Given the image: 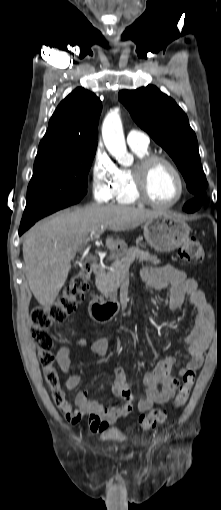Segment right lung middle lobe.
<instances>
[{
	"mask_svg": "<svg viewBox=\"0 0 221 510\" xmlns=\"http://www.w3.org/2000/svg\"><path fill=\"white\" fill-rule=\"evenodd\" d=\"M96 147L36 158L27 189V204L62 209L80 202L87 193V177Z\"/></svg>",
	"mask_w": 221,
	"mask_h": 510,
	"instance_id": "right-lung-middle-lobe-1",
	"label": "right lung middle lobe"
}]
</instances>
